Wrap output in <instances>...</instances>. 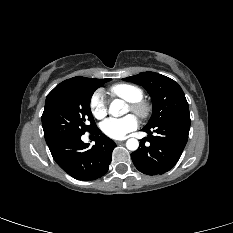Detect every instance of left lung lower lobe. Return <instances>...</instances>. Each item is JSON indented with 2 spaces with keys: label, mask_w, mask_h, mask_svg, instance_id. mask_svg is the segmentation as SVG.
Segmentation results:
<instances>
[{
  "label": "left lung lower lobe",
  "mask_w": 233,
  "mask_h": 233,
  "mask_svg": "<svg viewBox=\"0 0 233 233\" xmlns=\"http://www.w3.org/2000/svg\"><path fill=\"white\" fill-rule=\"evenodd\" d=\"M190 114L170 118L146 129L149 137L143 138L137 151L131 154L135 167L147 175L163 174L178 162L188 140ZM152 131L157 133L152 136ZM146 141L149 144H145Z\"/></svg>",
  "instance_id": "0a47b994"
}]
</instances>
